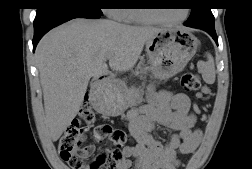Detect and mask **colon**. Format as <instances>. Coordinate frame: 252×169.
Returning <instances> with one entry per match:
<instances>
[{
  "label": "colon",
  "instance_id": "obj_1",
  "mask_svg": "<svg viewBox=\"0 0 252 169\" xmlns=\"http://www.w3.org/2000/svg\"><path fill=\"white\" fill-rule=\"evenodd\" d=\"M181 85L184 90L197 92L201 88V82L191 71L183 73ZM207 92V89H204ZM198 99H204L202 93L197 94ZM80 118L86 126L92 125L95 121V114L92 108L85 104L80 109ZM85 127L79 121L73 122L66 128L59 139V154L71 169H111L113 164L112 156L106 149L98 152L93 158L94 147L90 144H84ZM95 135L101 140H110L117 145L124 143V134L120 129L114 128L109 124H101L97 127Z\"/></svg>",
  "mask_w": 252,
  "mask_h": 169
}]
</instances>
